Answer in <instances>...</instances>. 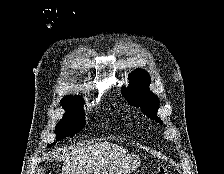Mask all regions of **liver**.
I'll return each mask as SVG.
<instances>
[{
  "label": "liver",
  "mask_w": 224,
  "mask_h": 174,
  "mask_svg": "<svg viewBox=\"0 0 224 174\" xmlns=\"http://www.w3.org/2000/svg\"><path fill=\"white\" fill-rule=\"evenodd\" d=\"M127 150L109 142L73 148L70 153L56 154L63 159L62 174H91L126 156Z\"/></svg>",
  "instance_id": "1"
}]
</instances>
